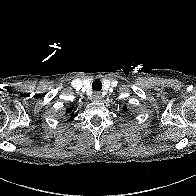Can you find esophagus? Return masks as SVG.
Instances as JSON below:
<instances>
[{"label":"esophagus","mask_w":196,"mask_h":196,"mask_svg":"<svg viewBox=\"0 0 196 196\" xmlns=\"http://www.w3.org/2000/svg\"><path fill=\"white\" fill-rule=\"evenodd\" d=\"M93 97H94V99L97 101V100H99V99H101V95H100V93H94V95H93Z\"/></svg>","instance_id":"1"}]
</instances>
